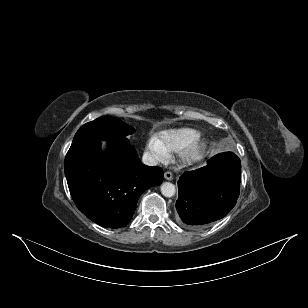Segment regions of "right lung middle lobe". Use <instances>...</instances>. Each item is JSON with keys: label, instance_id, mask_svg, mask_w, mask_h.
<instances>
[{"label": "right lung middle lobe", "instance_id": "right-lung-middle-lobe-1", "mask_svg": "<svg viewBox=\"0 0 308 308\" xmlns=\"http://www.w3.org/2000/svg\"><path fill=\"white\" fill-rule=\"evenodd\" d=\"M134 129L123 121L112 117L97 118L84 124L75 134L72 145L88 142L107 140L117 143H128L126 138L133 134Z\"/></svg>", "mask_w": 308, "mask_h": 308}]
</instances>
